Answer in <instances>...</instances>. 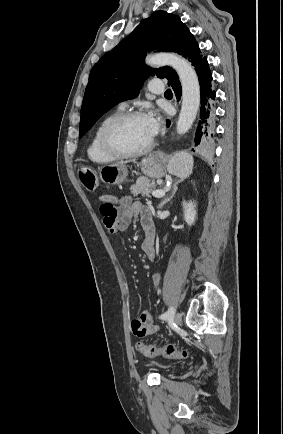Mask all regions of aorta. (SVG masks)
<instances>
[{"mask_svg": "<svg viewBox=\"0 0 283 434\" xmlns=\"http://www.w3.org/2000/svg\"><path fill=\"white\" fill-rule=\"evenodd\" d=\"M150 66L169 65L176 70L182 86V107L177 121V133L185 134L191 128L200 105V86L197 74L184 58L170 53L147 57Z\"/></svg>", "mask_w": 283, "mask_h": 434, "instance_id": "aorta-1", "label": "aorta"}]
</instances>
